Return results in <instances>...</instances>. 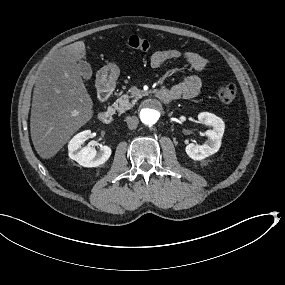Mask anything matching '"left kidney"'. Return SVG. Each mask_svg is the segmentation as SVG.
<instances>
[{
	"mask_svg": "<svg viewBox=\"0 0 285 285\" xmlns=\"http://www.w3.org/2000/svg\"><path fill=\"white\" fill-rule=\"evenodd\" d=\"M198 119L200 123L208 125L210 130L206 133V142L200 145L189 144L185 147L187 156L194 161H202L217 153L224 133V123L216 115L204 112L199 114Z\"/></svg>",
	"mask_w": 285,
	"mask_h": 285,
	"instance_id": "obj_1",
	"label": "left kidney"
}]
</instances>
